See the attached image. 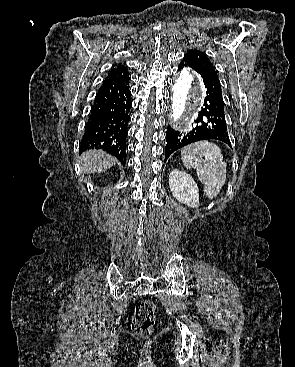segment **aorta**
<instances>
[{"label":"aorta","instance_id":"1","mask_svg":"<svg viewBox=\"0 0 295 367\" xmlns=\"http://www.w3.org/2000/svg\"><path fill=\"white\" fill-rule=\"evenodd\" d=\"M200 80L189 69L180 72L173 86L172 120L179 122L190 115L202 100Z\"/></svg>","mask_w":295,"mask_h":367}]
</instances>
